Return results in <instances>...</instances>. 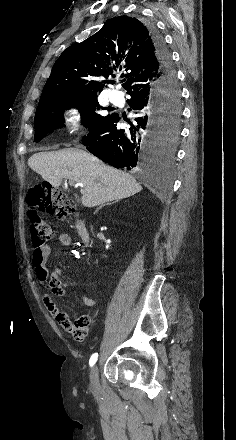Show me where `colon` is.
Returning <instances> with one entry per match:
<instances>
[{
	"mask_svg": "<svg viewBox=\"0 0 236 440\" xmlns=\"http://www.w3.org/2000/svg\"><path fill=\"white\" fill-rule=\"evenodd\" d=\"M26 201L29 205L30 236L34 247L44 245L54 236L53 227L46 221L43 212L53 214L59 219H65L76 213V205L73 200L46 182L31 188Z\"/></svg>",
	"mask_w": 236,
	"mask_h": 440,
	"instance_id": "obj_1",
	"label": "colon"
}]
</instances>
